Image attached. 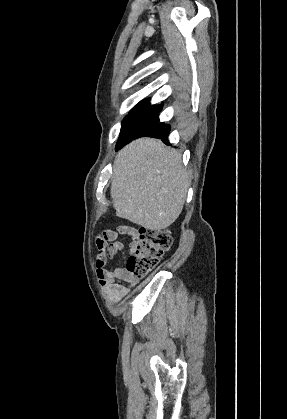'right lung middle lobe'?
<instances>
[{
	"mask_svg": "<svg viewBox=\"0 0 287 419\" xmlns=\"http://www.w3.org/2000/svg\"><path fill=\"white\" fill-rule=\"evenodd\" d=\"M161 110L162 107L134 108L122 121L116 149H120L158 121Z\"/></svg>",
	"mask_w": 287,
	"mask_h": 419,
	"instance_id": "obj_1",
	"label": "right lung middle lobe"
}]
</instances>
